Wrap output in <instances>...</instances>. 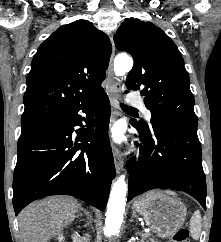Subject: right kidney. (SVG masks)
<instances>
[{"label": "right kidney", "mask_w": 221, "mask_h": 242, "mask_svg": "<svg viewBox=\"0 0 221 242\" xmlns=\"http://www.w3.org/2000/svg\"><path fill=\"white\" fill-rule=\"evenodd\" d=\"M58 240H59V242H63L64 241V236L63 235H59L58 236Z\"/></svg>", "instance_id": "obj_1"}]
</instances>
